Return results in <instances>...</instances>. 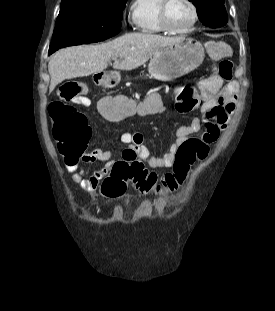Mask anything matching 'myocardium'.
Returning a JSON list of instances; mask_svg holds the SVG:
<instances>
[{"label":"myocardium","instance_id":"obj_1","mask_svg":"<svg viewBox=\"0 0 275 311\" xmlns=\"http://www.w3.org/2000/svg\"><path fill=\"white\" fill-rule=\"evenodd\" d=\"M172 0H161L159 6V21L163 29L172 34H183L191 30L198 21V9L193 0H186L192 10V20L190 23L181 29L172 27L168 19V8Z\"/></svg>","mask_w":275,"mask_h":311}]
</instances>
